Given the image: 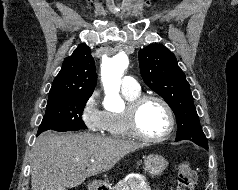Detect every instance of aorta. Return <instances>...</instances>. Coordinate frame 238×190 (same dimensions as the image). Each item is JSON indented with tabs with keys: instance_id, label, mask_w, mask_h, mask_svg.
<instances>
[{
	"instance_id": "1",
	"label": "aorta",
	"mask_w": 238,
	"mask_h": 190,
	"mask_svg": "<svg viewBox=\"0 0 238 190\" xmlns=\"http://www.w3.org/2000/svg\"><path fill=\"white\" fill-rule=\"evenodd\" d=\"M129 60L126 54L119 53L118 55L107 59L101 69L102 82L106 94L105 107L114 109L120 104V78L128 67Z\"/></svg>"
}]
</instances>
